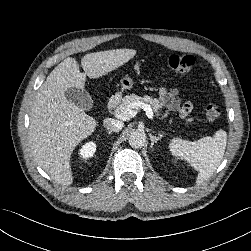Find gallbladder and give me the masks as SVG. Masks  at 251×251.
<instances>
[{"label":"gallbladder","instance_id":"gallbladder-1","mask_svg":"<svg viewBox=\"0 0 251 251\" xmlns=\"http://www.w3.org/2000/svg\"><path fill=\"white\" fill-rule=\"evenodd\" d=\"M66 99L83 110H90L93 100L90 94L80 88L71 87L65 92Z\"/></svg>","mask_w":251,"mask_h":251}]
</instances>
